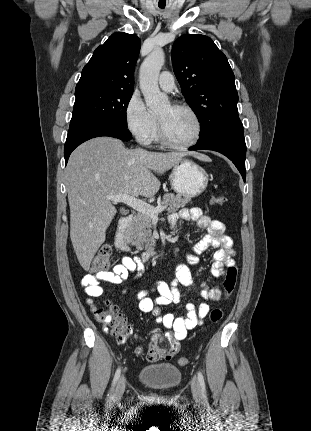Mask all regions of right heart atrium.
<instances>
[{"label":"right heart atrium","instance_id":"1","mask_svg":"<svg viewBox=\"0 0 311 431\" xmlns=\"http://www.w3.org/2000/svg\"><path fill=\"white\" fill-rule=\"evenodd\" d=\"M124 121L128 132L140 143L152 140L156 119L137 92H132L125 104Z\"/></svg>","mask_w":311,"mask_h":431}]
</instances>
